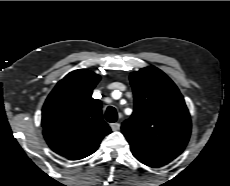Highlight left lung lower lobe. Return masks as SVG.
<instances>
[{
	"mask_svg": "<svg viewBox=\"0 0 230 186\" xmlns=\"http://www.w3.org/2000/svg\"><path fill=\"white\" fill-rule=\"evenodd\" d=\"M140 162H142L143 164L150 166V167H158L164 164H160V163H156V162H150V161H145V160H139Z\"/></svg>",
	"mask_w": 230,
	"mask_h": 186,
	"instance_id": "left-lung-lower-lobe-1",
	"label": "left lung lower lobe"
}]
</instances>
